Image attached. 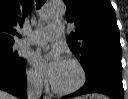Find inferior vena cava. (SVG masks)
<instances>
[{
	"label": "inferior vena cava",
	"instance_id": "1",
	"mask_svg": "<svg viewBox=\"0 0 128 99\" xmlns=\"http://www.w3.org/2000/svg\"><path fill=\"white\" fill-rule=\"evenodd\" d=\"M43 82L40 78L29 77L27 80V97L28 99H39L42 94Z\"/></svg>",
	"mask_w": 128,
	"mask_h": 99
}]
</instances>
